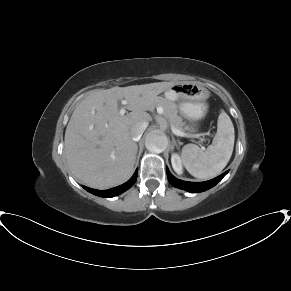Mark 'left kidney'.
Masks as SVG:
<instances>
[{
	"label": "left kidney",
	"mask_w": 291,
	"mask_h": 291,
	"mask_svg": "<svg viewBox=\"0 0 291 291\" xmlns=\"http://www.w3.org/2000/svg\"><path fill=\"white\" fill-rule=\"evenodd\" d=\"M171 163H172V167L174 171L178 175H182L183 174L182 160H181V157L177 153L172 154Z\"/></svg>",
	"instance_id": "1"
}]
</instances>
